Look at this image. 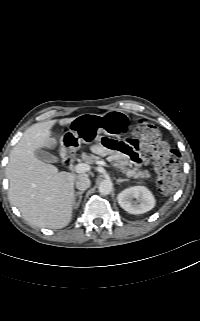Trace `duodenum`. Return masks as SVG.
<instances>
[{"mask_svg":"<svg viewBox=\"0 0 200 321\" xmlns=\"http://www.w3.org/2000/svg\"><path fill=\"white\" fill-rule=\"evenodd\" d=\"M63 164L66 166V167H70L72 165V160L69 156L65 155L64 158H63Z\"/></svg>","mask_w":200,"mask_h":321,"instance_id":"1","label":"duodenum"}]
</instances>
